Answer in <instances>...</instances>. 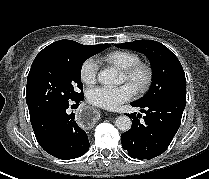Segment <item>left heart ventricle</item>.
<instances>
[{"label": "left heart ventricle", "instance_id": "obj_1", "mask_svg": "<svg viewBox=\"0 0 209 179\" xmlns=\"http://www.w3.org/2000/svg\"><path fill=\"white\" fill-rule=\"evenodd\" d=\"M122 80H123V81H126V78H125V76H124V75L122 76Z\"/></svg>", "mask_w": 209, "mask_h": 179}]
</instances>
